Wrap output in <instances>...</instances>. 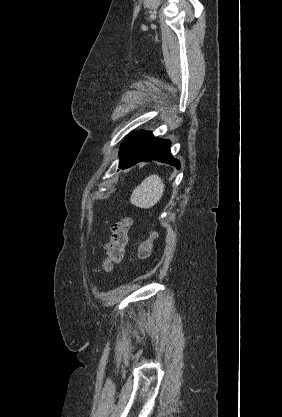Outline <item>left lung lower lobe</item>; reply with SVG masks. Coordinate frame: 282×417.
I'll return each mask as SVG.
<instances>
[{"label":"left lung lower lobe","instance_id":"obj_1","mask_svg":"<svg viewBox=\"0 0 282 417\" xmlns=\"http://www.w3.org/2000/svg\"><path fill=\"white\" fill-rule=\"evenodd\" d=\"M170 142L153 137L149 132L131 133L120 149V169H126L138 162L157 160L180 168V162L170 154Z\"/></svg>","mask_w":282,"mask_h":417}]
</instances>
